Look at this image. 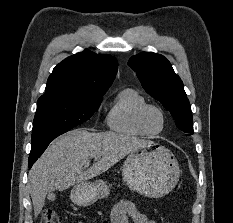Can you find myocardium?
I'll return each instance as SVG.
<instances>
[{"label":"myocardium","instance_id":"obj_1","mask_svg":"<svg viewBox=\"0 0 233 223\" xmlns=\"http://www.w3.org/2000/svg\"><path fill=\"white\" fill-rule=\"evenodd\" d=\"M150 109H156V110H158L162 114V116H163L164 127H163L162 131L159 132V133H152V132H150L149 129H148V127H147V125H146L145 117H146L147 111L150 110ZM168 123H169L168 115H167L165 109L163 107H161L160 105H157V104L146 103V104H144L139 109V111L137 113V124H138V127L147 136L156 137V136L163 135L166 132L167 128H168Z\"/></svg>","mask_w":233,"mask_h":223}]
</instances>
